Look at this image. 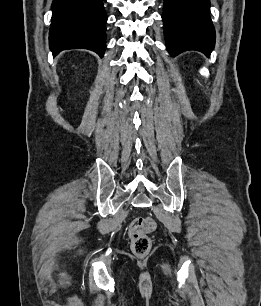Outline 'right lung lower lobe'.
I'll list each match as a JSON object with an SVG mask.
<instances>
[{"label":"right lung lower lobe","instance_id":"1","mask_svg":"<svg viewBox=\"0 0 261 306\" xmlns=\"http://www.w3.org/2000/svg\"><path fill=\"white\" fill-rule=\"evenodd\" d=\"M106 22L103 0H53L49 33L53 55L67 49H89L102 57Z\"/></svg>","mask_w":261,"mask_h":306}]
</instances>
